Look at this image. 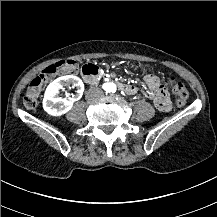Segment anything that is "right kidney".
I'll return each instance as SVG.
<instances>
[{
	"instance_id": "1",
	"label": "right kidney",
	"mask_w": 217,
	"mask_h": 217,
	"mask_svg": "<svg viewBox=\"0 0 217 217\" xmlns=\"http://www.w3.org/2000/svg\"><path fill=\"white\" fill-rule=\"evenodd\" d=\"M76 87L78 97L74 99H67L59 97V90L64 87ZM84 92V84L82 80L74 75H66L57 78L50 83L45 91L43 99L44 110L53 116H60L68 112L76 99L80 98Z\"/></svg>"
}]
</instances>
